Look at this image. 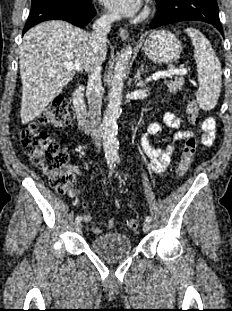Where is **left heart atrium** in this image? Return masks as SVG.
<instances>
[{
  "mask_svg": "<svg viewBox=\"0 0 232 311\" xmlns=\"http://www.w3.org/2000/svg\"><path fill=\"white\" fill-rule=\"evenodd\" d=\"M106 7L123 16H133L142 7L143 0H100Z\"/></svg>",
  "mask_w": 232,
  "mask_h": 311,
  "instance_id": "39dd6f15",
  "label": "left heart atrium"
}]
</instances>
